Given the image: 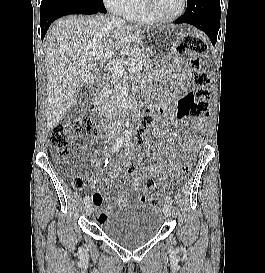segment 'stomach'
<instances>
[{
	"label": "stomach",
	"mask_w": 265,
	"mask_h": 273,
	"mask_svg": "<svg viewBox=\"0 0 265 273\" xmlns=\"http://www.w3.org/2000/svg\"><path fill=\"white\" fill-rule=\"evenodd\" d=\"M188 25H158L139 34L137 44H127V49H144L136 55L140 69H163V64H172L169 56H176L175 49L182 35H187Z\"/></svg>",
	"instance_id": "0dacf381"
}]
</instances>
